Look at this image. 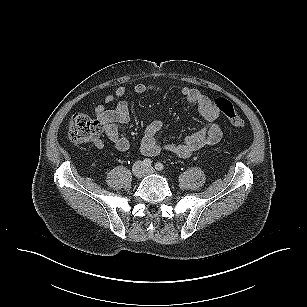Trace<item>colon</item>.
<instances>
[{
    "mask_svg": "<svg viewBox=\"0 0 307 307\" xmlns=\"http://www.w3.org/2000/svg\"><path fill=\"white\" fill-rule=\"evenodd\" d=\"M214 103L234 127H244V120L235 112L228 100L217 98ZM101 132L102 126L100 122L88 115L77 113L70 118L68 137L73 143L95 142L99 139Z\"/></svg>",
    "mask_w": 307,
    "mask_h": 307,
    "instance_id": "colon-1",
    "label": "colon"
}]
</instances>
